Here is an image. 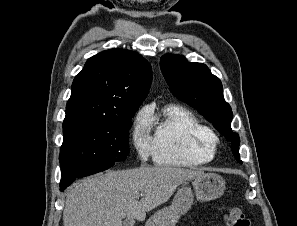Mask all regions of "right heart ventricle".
<instances>
[{
  "mask_svg": "<svg viewBox=\"0 0 297 226\" xmlns=\"http://www.w3.org/2000/svg\"><path fill=\"white\" fill-rule=\"evenodd\" d=\"M155 124L153 158L156 164L197 167L215 157L213 129L190 110L179 105L166 106L160 116L149 113Z\"/></svg>",
  "mask_w": 297,
  "mask_h": 226,
  "instance_id": "obj_1",
  "label": "right heart ventricle"
}]
</instances>
